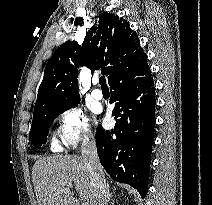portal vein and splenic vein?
Here are the masks:
<instances>
[{"label":"portal vein and splenic vein","instance_id":"18ae733b","mask_svg":"<svg viewBox=\"0 0 212 205\" xmlns=\"http://www.w3.org/2000/svg\"><path fill=\"white\" fill-rule=\"evenodd\" d=\"M62 185H63V186H67V187H69V188L72 187V184L69 183V182H64V183H62ZM82 205H89V204H88L87 202H83Z\"/></svg>","mask_w":212,"mask_h":205}]
</instances>
